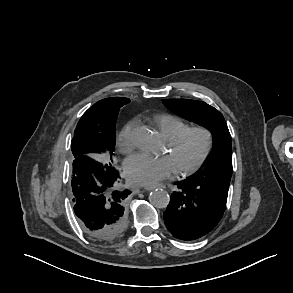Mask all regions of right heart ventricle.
<instances>
[{"mask_svg":"<svg viewBox=\"0 0 293 293\" xmlns=\"http://www.w3.org/2000/svg\"><path fill=\"white\" fill-rule=\"evenodd\" d=\"M153 122L166 140L173 138L188 127L184 120L171 114L155 115Z\"/></svg>","mask_w":293,"mask_h":293,"instance_id":"e07e8e85","label":"right heart ventricle"}]
</instances>
